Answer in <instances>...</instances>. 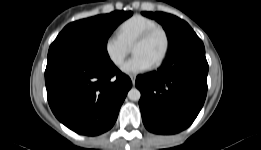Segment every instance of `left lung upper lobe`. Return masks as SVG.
I'll list each match as a JSON object with an SVG mask.
<instances>
[{
  "label": "left lung upper lobe",
  "mask_w": 261,
  "mask_h": 150,
  "mask_svg": "<svg viewBox=\"0 0 261 150\" xmlns=\"http://www.w3.org/2000/svg\"><path fill=\"white\" fill-rule=\"evenodd\" d=\"M144 16L155 19L167 33L169 50L185 36L194 33L192 28L182 19L163 12H142Z\"/></svg>",
  "instance_id": "5c2ea615"
}]
</instances>
